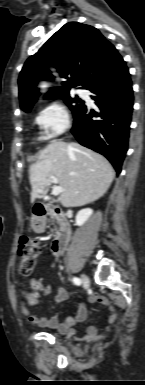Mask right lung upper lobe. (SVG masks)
Listing matches in <instances>:
<instances>
[{
	"mask_svg": "<svg viewBox=\"0 0 145 385\" xmlns=\"http://www.w3.org/2000/svg\"><path fill=\"white\" fill-rule=\"evenodd\" d=\"M48 64L55 66L67 81L62 83L63 87L52 88L47 97L69 93L79 85L89 90L126 68L116 48L98 29L77 22L67 23L24 64L18 84L20 105L26 112L39 95L37 82L54 78L46 67Z\"/></svg>",
	"mask_w": 145,
	"mask_h": 385,
	"instance_id": "1",
	"label": "right lung upper lobe"
}]
</instances>
